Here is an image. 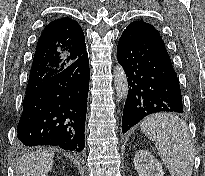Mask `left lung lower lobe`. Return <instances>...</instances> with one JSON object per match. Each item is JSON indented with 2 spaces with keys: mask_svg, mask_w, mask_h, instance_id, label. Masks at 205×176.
Segmentation results:
<instances>
[{
  "mask_svg": "<svg viewBox=\"0 0 205 176\" xmlns=\"http://www.w3.org/2000/svg\"><path fill=\"white\" fill-rule=\"evenodd\" d=\"M117 55L130 86L123 111V133L149 114L183 113L179 81L163 42L128 26L118 42Z\"/></svg>",
  "mask_w": 205,
  "mask_h": 176,
  "instance_id": "1",
  "label": "left lung lower lobe"
}]
</instances>
